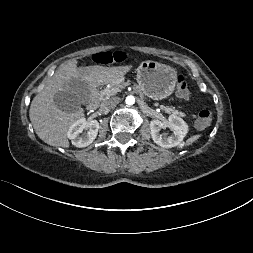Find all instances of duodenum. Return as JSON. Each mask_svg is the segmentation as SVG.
Returning <instances> with one entry per match:
<instances>
[{
  "mask_svg": "<svg viewBox=\"0 0 253 253\" xmlns=\"http://www.w3.org/2000/svg\"><path fill=\"white\" fill-rule=\"evenodd\" d=\"M99 107V92L96 87L91 88V96L87 103V110L90 112L96 111Z\"/></svg>",
  "mask_w": 253,
  "mask_h": 253,
  "instance_id": "1",
  "label": "duodenum"
}]
</instances>
